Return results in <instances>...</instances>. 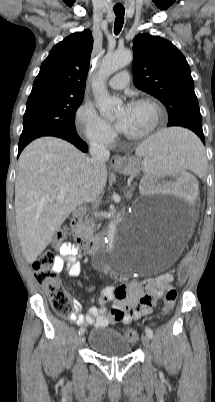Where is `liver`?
Segmentation results:
<instances>
[{"label":"liver","mask_w":215,"mask_h":402,"mask_svg":"<svg viewBox=\"0 0 215 402\" xmlns=\"http://www.w3.org/2000/svg\"><path fill=\"white\" fill-rule=\"evenodd\" d=\"M106 182V165L95 171L89 157L62 139L42 137L25 147L18 160L15 213L28 263L36 261L77 206L100 195ZM63 188L67 191L58 200Z\"/></svg>","instance_id":"6515ba94"}]
</instances>
